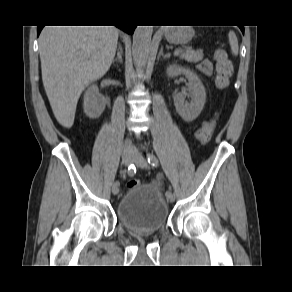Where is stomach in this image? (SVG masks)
<instances>
[{
	"label": "stomach",
	"mask_w": 292,
	"mask_h": 292,
	"mask_svg": "<svg viewBox=\"0 0 292 292\" xmlns=\"http://www.w3.org/2000/svg\"><path fill=\"white\" fill-rule=\"evenodd\" d=\"M193 36V31L185 27H170L166 29L165 37L167 41L174 44L188 42Z\"/></svg>",
	"instance_id": "stomach-1"
}]
</instances>
